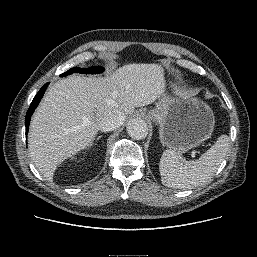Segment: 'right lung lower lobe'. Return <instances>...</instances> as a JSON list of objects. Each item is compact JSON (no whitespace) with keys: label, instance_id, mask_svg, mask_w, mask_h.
<instances>
[{"label":"right lung lower lobe","instance_id":"98d812e1","mask_svg":"<svg viewBox=\"0 0 257 257\" xmlns=\"http://www.w3.org/2000/svg\"><path fill=\"white\" fill-rule=\"evenodd\" d=\"M49 83L45 84L40 90L39 92L36 94V96L34 97L32 103L30 104V107L27 111L26 117H25V125H26V134L29 130V123H30V119H31V115L33 114L35 108L37 107V105L39 104L41 98L44 95V92L47 88Z\"/></svg>","mask_w":257,"mask_h":257}]
</instances>
